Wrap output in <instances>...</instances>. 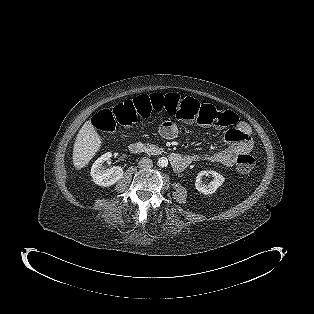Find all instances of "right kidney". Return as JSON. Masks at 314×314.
Returning <instances> with one entry per match:
<instances>
[{"mask_svg": "<svg viewBox=\"0 0 314 314\" xmlns=\"http://www.w3.org/2000/svg\"><path fill=\"white\" fill-rule=\"evenodd\" d=\"M112 156V153L107 152L98 158L92 165L91 176L95 184L103 187H108L115 184L123 177V169L119 166L105 169L103 164L108 161Z\"/></svg>", "mask_w": 314, "mask_h": 314, "instance_id": "obj_1", "label": "right kidney"}]
</instances>
